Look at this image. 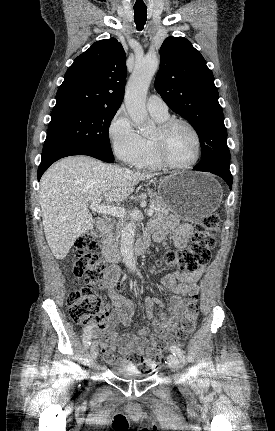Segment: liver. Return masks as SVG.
Instances as JSON below:
<instances>
[{
	"label": "liver",
	"mask_w": 275,
	"mask_h": 431,
	"mask_svg": "<svg viewBox=\"0 0 275 431\" xmlns=\"http://www.w3.org/2000/svg\"><path fill=\"white\" fill-rule=\"evenodd\" d=\"M153 174L131 171L86 156L53 164L40 181V205L45 237L56 259L69 253L76 239L92 229L90 203L104 198L120 202Z\"/></svg>",
	"instance_id": "obj_1"
}]
</instances>
